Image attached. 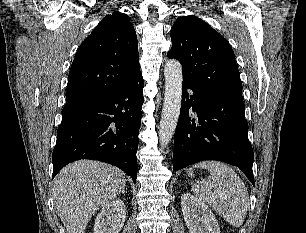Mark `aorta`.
<instances>
[{
	"label": "aorta",
	"instance_id": "obj_1",
	"mask_svg": "<svg viewBox=\"0 0 306 233\" xmlns=\"http://www.w3.org/2000/svg\"><path fill=\"white\" fill-rule=\"evenodd\" d=\"M165 95L159 127V141L165 147L175 132L182 100V65L175 59L167 61L164 67Z\"/></svg>",
	"mask_w": 306,
	"mask_h": 233
}]
</instances>
